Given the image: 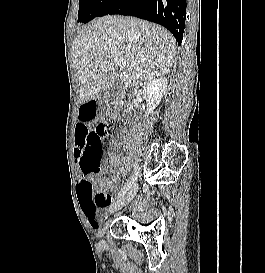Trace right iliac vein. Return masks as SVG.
<instances>
[{
	"instance_id": "63e3f726",
	"label": "right iliac vein",
	"mask_w": 265,
	"mask_h": 273,
	"mask_svg": "<svg viewBox=\"0 0 265 273\" xmlns=\"http://www.w3.org/2000/svg\"><path fill=\"white\" fill-rule=\"evenodd\" d=\"M138 190V185L137 184H134L130 191L125 195L123 196L122 198H120L118 201H116L115 203H113L110 207H109V212L110 214L118 211L119 209H121L123 206L127 205L129 202H131L133 200V198L135 197L136 195V192ZM100 244L101 245H104L105 244V241L104 239L101 238L100 240Z\"/></svg>"
}]
</instances>
